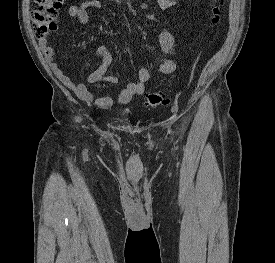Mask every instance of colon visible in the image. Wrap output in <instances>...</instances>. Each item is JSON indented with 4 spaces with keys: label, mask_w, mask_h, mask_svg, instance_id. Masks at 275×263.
<instances>
[{
    "label": "colon",
    "mask_w": 275,
    "mask_h": 263,
    "mask_svg": "<svg viewBox=\"0 0 275 263\" xmlns=\"http://www.w3.org/2000/svg\"><path fill=\"white\" fill-rule=\"evenodd\" d=\"M63 1L34 0L31 12L32 30L35 38L39 41L57 29L56 17ZM221 4L222 0H211L210 2V21L214 25L221 21ZM169 101V95L163 91L152 92L144 97L145 104L152 107L167 104Z\"/></svg>",
    "instance_id": "1"
}]
</instances>
